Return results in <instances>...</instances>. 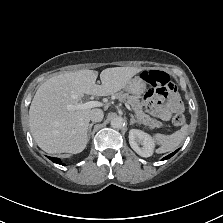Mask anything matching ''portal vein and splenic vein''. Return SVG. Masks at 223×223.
<instances>
[{"mask_svg":"<svg viewBox=\"0 0 223 223\" xmlns=\"http://www.w3.org/2000/svg\"><path fill=\"white\" fill-rule=\"evenodd\" d=\"M101 106H102L101 102L89 101V102H86V103H80V104H77V105H71V108L74 109V110H78V109L94 108V107H101ZM125 108H126V110H128V112H131V114H134L133 109H131L129 107L128 103H125Z\"/></svg>","mask_w":223,"mask_h":223,"instance_id":"portal-vein-and-splenic-vein-1","label":"portal vein and splenic vein"}]
</instances>
